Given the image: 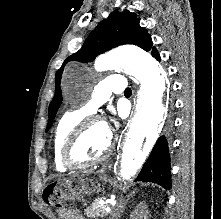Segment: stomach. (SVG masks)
I'll return each mask as SVG.
<instances>
[{
	"instance_id": "stomach-1",
	"label": "stomach",
	"mask_w": 221,
	"mask_h": 219,
	"mask_svg": "<svg viewBox=\"0 0 221 219\" xmlns=\"http://www.w3.org/2000/svg\"><path fill=\"white\" fill-rule=\"evenodd\" d=\"M69 183H81L82 188L81 190H77V195H85L84 197L86 198V195H90L94 192H97L100 185L95 184L93 182H90L89 180H85V178H69ZM81 203L83 202L82 200L80 201Z\"/></svg>"
}]
</instances>
